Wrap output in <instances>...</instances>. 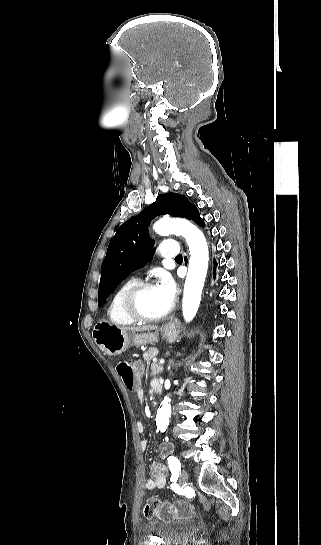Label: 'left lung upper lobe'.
Returning <instances> with one entry per match:
<instances>
[{"instance_id": "left-lung-upper-lobe-1", "label": "left lung upper lobe", "mask_w": 321, "mask_h": 545, "mask_svg": "<svg viewBox=\"0 0 321 545\" xmlns=\"http://www.w3.org/2000/svg\"><path fill=\"white\" fill-rule=\"evenodd\" d=\"M197 208L183 195L167 193L135 217L124 222L111 239L102 263L98 306H101L115 287L130 273L146 265L151 259L154 241L147 228L158 215L191 219Z\"/></svg>"}]
</instances>
